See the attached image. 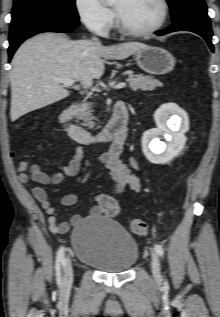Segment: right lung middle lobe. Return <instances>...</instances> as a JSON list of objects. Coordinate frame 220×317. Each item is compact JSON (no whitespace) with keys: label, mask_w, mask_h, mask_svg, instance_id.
Instances as JSON below:
<instances>
[{"label":"right lung middle lobe","mask_w":220,"mask_h":317,"mask_svg":"<svg viewBox=\"0 0 220 317\" xmlns=\"http://www.w3.org/2000/svg\"><path fill=\"white\" fill-rule=\"evenodd\" d=\"M36 15H58L79 20L75 0H15L11 24Z\"/></svg>","instance_id":"dd1d6c3e"}]
</instances>
